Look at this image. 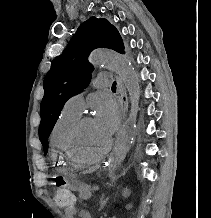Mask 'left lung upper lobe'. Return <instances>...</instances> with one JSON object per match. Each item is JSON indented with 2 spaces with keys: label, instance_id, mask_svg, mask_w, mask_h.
<instances>
[{
  "label": "left lung upper lobe",
  "instance_id": "1",
  "mask_svg": "<svg viewBox=\"0 0 211 218\" xmlns=\"http://www.w3.org/2000/svg\"><path fill=\"white\" fill-rule=\"evenodd\" d=\"M97 48L124 53L117 29L104 18L91 17L79 26L63 54L52 62L43 81L45 93L40 107L39 138L45 154L48 137L65 102L89 85L94 68L87 58Z\"/></svg>",
  "mask_w": 211,
  "mask_h": 218
}]
</instances>
